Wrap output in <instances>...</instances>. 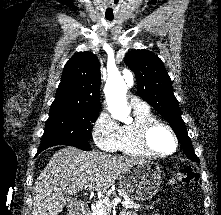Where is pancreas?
Returning <instances> with one entry per match:
<instances>
[{"instance_id": "1", "label": "pancreas", "mask_w": 221, "mask_h": 215, "mask_svg": "<svg viewBox=\"0 0 221 215\" xmlns=\"http://www.w3.org/2000/svg\"><path fill=\"white\" fill-rule=\"evenodd\" d=\"M112 193L108 192L106 196L103 197L104 200L109 201V197ZM118 194L120 196H123L125 201L122 202L123 207L126 209H138L140 208V204L135 203L132 201L122 190H118ZM110 211V207H108L104 202H97L92 209L91 215H108V212Z\"/></svg>"}]
</instances>
